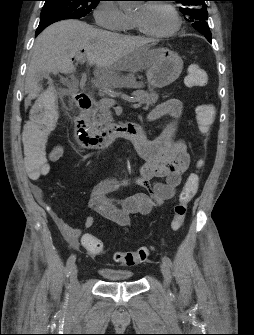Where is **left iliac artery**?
I'll return each instance as SVG.
<instances>
[{"mask_svg": "<svg viewBox=\"0 0 254 335\" xmlns=\"http://www.w3.org/2000/svg\"><path fill=\"white\" fill-rule=\"evenodd\" d=\"M162 261H163V263H165L167 266L171 267L172 262H171V259H170L169 257L164 256V257L162 258Z\"/></svg>", "mask_w": 254, "mask_h": 335, "instance_id": "left-iliac-artery-1", "label": "left iliac artery"}]
</instances>
